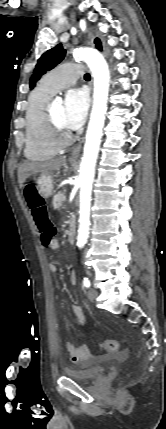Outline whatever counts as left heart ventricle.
I'll return each instance as SVG.
<instances>
[{"label":"left heart ventricle","mask_w":166,"mask_h":429,"mask_svg":"<svg viewBox=\"0 0 166 429\" xmlns=\"http://www.w3.org/2000/svg\"><path fill=\"white\" fill-rule=\"evenodd\" d=\"M50 111L58 128L63 132H69L63 123V105L61 103L53 104L50 108Z\"/></svg>","instance_id":"obj_1"}]
</instances>
